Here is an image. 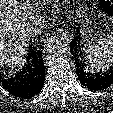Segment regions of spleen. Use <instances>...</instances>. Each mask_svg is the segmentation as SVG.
I'll use <instances>...</instances> for the list:
<instances>
[{
  "mask_svg": "<svg viewBox=\"0 0 113 113\" xmlns=\"http://www.w3.org/2000/svg\"><path fill=\"white\" fill-rule=\"evenodd\" d=\"M85 54L91 73L108 69L113 65V33L87 44Z\"/></svg>",
  "mask_w": 113,
  "mask_h": 113,
  "instance_id": "1",
  "label": "spleen"
}]
</instances>
